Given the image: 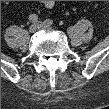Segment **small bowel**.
I'll return each instance as SVG.
<instances>
[{"mask_svg": "<svg viewBox=\"0 0 109 109\" xmlns=\"http://www.w3.org/2000/svg\"><path fill=\"white\" fill-rule=\"evenodd\" d=\"M43 4L47 8H52L54 6L55 2L54 1H44Z\"/></svg>", "mask_w": 109, "mask_h": 109, "instance_id": "small-bowel-1", "label": "small bowel"}]
</instances>
